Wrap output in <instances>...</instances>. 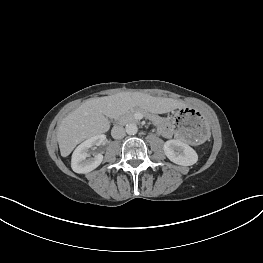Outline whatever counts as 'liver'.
Listing matches in <instances>:
<instances>
[{
    "mask_svg": "<svg viewBox=\"0 0 263 263\" xmlns=\"http://www.w3.org/2000/svg\"><path fill=\"white\" fill-rule=\"evenodd\" d=\"M184 104L171 98L153 97L140 92H120L115 95L86 100L61 122L57 141L62 157H67L85 139L103 134L110 128L108 118H119L134 107L163 114Z\"/></svg>",
    "mask_w": 263,
    "mask_h": 263,
    "instance_id": "6515ba94",
    "label": "liver"
}]
</instances>
